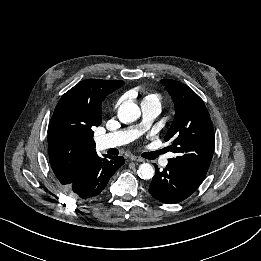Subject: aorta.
Wrapping results in <instances>:
<instances>
[{"label":"aorta","mask_w":261,"mask_h":261,"mask_svg":"<svg viewBox=\"0 0 261 261\" xmlns=\"http://www.w3.org/2000/svg\"><path fill=\"white\" fill-rule=\"evenodd\" d=\"M141 116L140 108L132 101L123 102L118 109V118L122 123H132ZM154 168L149 163H143L139 166L137 173L144 180L151 179L154 176Z\"/></svg>","instance_id":"obj_1"}]
</instances>
